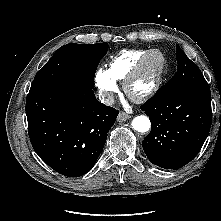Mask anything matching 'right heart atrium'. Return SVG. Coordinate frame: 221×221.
Returning a JSON list of instances; mask_svg holds the SVG:
<instances>
[{
  "instance_id": "d8ad5b80",
  "label": "right heart atrium",
  "mask_w": 221,
  "mask_h": 221,
  "mask_svg": "<svg viewBox=\"0 0 221 221\" xmlns=\"http://www.w3.org/2000/svg\"><path fill=\"white\" fill-rule=\"evenodd\" d=\"M94 81L102 99L110 102L114 93L118 91V83L114 76L108 69L100 68L95 73Z\"/></svg>"
}]
</instances>
